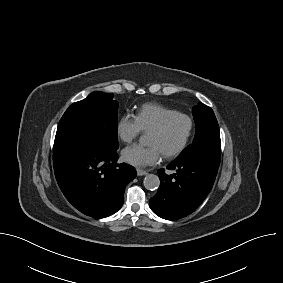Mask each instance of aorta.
I'll return each instance as SVG.
<instances>
[{
    "mask_svg": "<svg viewBox=\"0 0 283 283\" xmlns=\"http://www.w3.org/2000/svg\"><path fill=\"white\" fill-rule=\"evenodd\" d=\"M143 183L147 190H156L160 185V179L157 175L148 174L144 178Z\"/></svg>",
    "mask_w": 283,
    "mask_h": 283,
    "instance_id": "aorta-1",
    "label": "aorta"
}]
</instances>
